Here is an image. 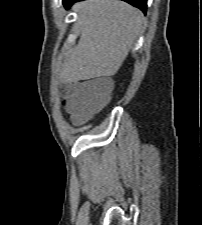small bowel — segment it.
<instances>
[{
  "label": "small bowel",
  "instance_id": "small-bowel-1",
  "mask_svg": "<svg viewBox=\"0 0 202 225\" xmlns=\"http://www.w3.org/2000/svg\"><path fill=\"white\" fill-rule=\"evenodd\" d=\"M103 85L114 86L115 82L112 78L103 76L98 78ZM67 110L75 123H80L86 116L91 113V109L87 103V97L77 90L73 97L67 102Z\"/></svg>",
  "mask_w": 202,
  "mask_h": 225
}]
</instances>
